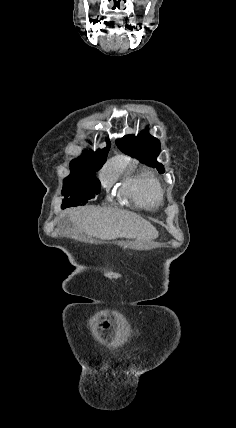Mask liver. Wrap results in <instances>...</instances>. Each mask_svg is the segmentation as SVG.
Listing matches in <instances>:
<instances>
[{
	"label": "liver",
	"instance_id": "1",
	"mask_svg": "<svg viewBox=\"0 0 236 428\" xmlns=\"http://www.w3.org/2000/svg\"><path fill=\"white\" fill-rule=\"evenodd\" d=\"M76 228L88 236H97L101 240L116 238H136V240H156L159 234L147 220L132 212L117 210H72L69 214Z\"/></svg>",
	"mask_w": 236,
	"mask_h": 428
}]
</instances>
